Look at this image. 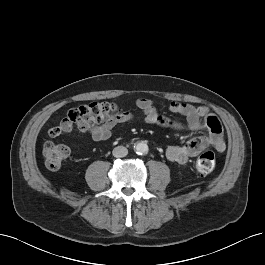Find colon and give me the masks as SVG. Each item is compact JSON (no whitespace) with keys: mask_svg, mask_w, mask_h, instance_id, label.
Wrapping results in <instances>:
<instances>
[{"mask_svg":"<svg viewBox=\"0 0 265 265\" xmlns=\"http://www.w3.org/2000/svg\"><path fill=\"white\" fill-rule=\"evenodd\" d=\"M120 107L110 102H93L70 109L59 125L49 129L50 137L55 138L71 132L73 129L86 131L101 121H113L119 118ZM208 125L211 133L220 134L221 125L215 117H210ZM70 154L69 148L64 144L47 142L43 148L44 162L51 170L59 169ZM216 157L212 151L202 153L196 160L199 173L208 175L215 169Z\"/></svg>","mask_w":265,"mask_h":265,"instance_id":"1","label":"colon"}]
</instances>
